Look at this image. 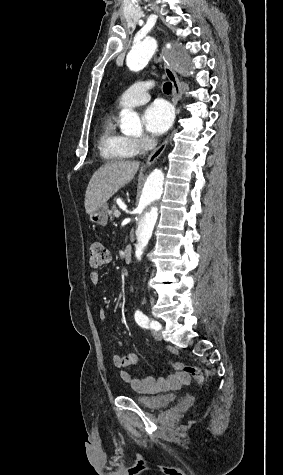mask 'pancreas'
<instances>
[{
	"mask_svg": "<svg viewBox=\"0 0 283 475\" xmlns=\"http://www.w3.org/2000/svg\"><path fill=\"white\" fill-rule=\"evenodd\" d=\"M111 212H116V208H115V206H113V208H112ZM110 216H111V220H112V214H110Z\"/></svg>",
	"mask_w": 283,
	"mask_h": 475,
	"instance_id": "obj_1",
	"label": "pancreas"
}]
</instances>
